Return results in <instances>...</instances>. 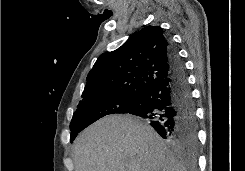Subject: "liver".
Here are the masks:
<instances>
[{"mask_svg": "<svg viewBox=\"0 0 245 171\" xmlns=\"http://www.w3.org/2000/svg\"><path fill=\"white\" fill-rule=\"evenodd\" d=\"M75 171H186L148 124L129 115L106 116L75 141Z\"/></svg>", "mask_w": 245, "mask_h": 171, "instance_id": "liver-1", "label": "liver"}]
</instances>
